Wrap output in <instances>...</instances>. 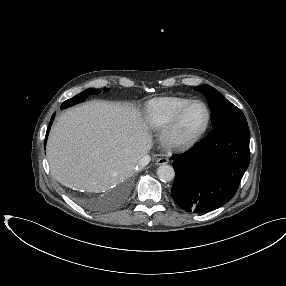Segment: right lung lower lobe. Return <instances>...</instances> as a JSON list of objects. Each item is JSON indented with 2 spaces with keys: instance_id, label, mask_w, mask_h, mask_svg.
<instances>
[{
  "instance_id": "right-lung-lower-lobe-1",
  "label": "right lung lower lobe",
  "mask_w": 286,
  "mask_h": 286,
  "mask_svg": "<svg viewBox=\"0 0 286 286\" xmlns=\"http://www.w3.org/2000/svg\"><path fill=\"white\" fill-rule=\"evenodd\" d=\"M54 117H55V113L52 115L51 117V121H50V125L52 124V121L54 120ZM49 130H50V126L48 127L47 129V134H46V137H45V143H44V146L46 145V140H47V136H48V133H49Z\"/></svg>"
}]
</instances>
